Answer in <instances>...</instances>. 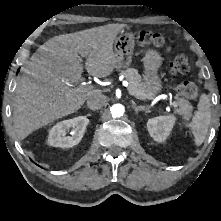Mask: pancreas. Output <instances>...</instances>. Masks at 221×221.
<instances>
[{"mask_svg":"<svg viewBox=\"0 0 221 221\" xmlns=\"http://www.w3.org/2000/svg\"><path fill=\"white\" fill-rule=\"evenodd\" d=\"M129 82L128 91L137 99H152L154 96L150 92V88L143 83L138 71L134 68H128L123 72ZM178 107L177 112L186 117L191 115V105L184 99L180 98L175 102Z\"/></svg>","mask_w":221,"mask_h":221,"instance_id":"1","label":"pancreas"}]
</instances>
